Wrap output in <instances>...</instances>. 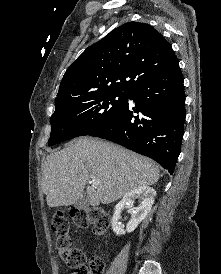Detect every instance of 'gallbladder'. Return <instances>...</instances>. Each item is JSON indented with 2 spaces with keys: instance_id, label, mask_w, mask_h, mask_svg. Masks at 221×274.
<instances>
[{
  "instance_id": "bac80fb5",
  "label": "gallbladder",
  "mask_w": 221,
  "mask_h": 274,
  "mask_svg": "<svg viewBox=\"0 0 221 274\" xmlns=\"http://www.w3.org/2000/svg\"><path fill=\"white\" fill-rule=\"evenodd\" d=\"M90 205V199L87 193H84L82 197L74 204L77 209H84Z\"/></svg>"
}]
</instances>
